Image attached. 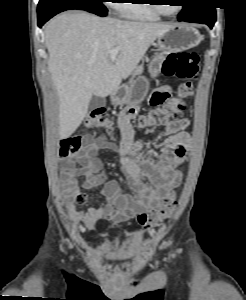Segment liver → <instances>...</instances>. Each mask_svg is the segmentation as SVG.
I'll list each match as a JSON object with an SVG mask.
<instances>
[{"mask_svg":"<svg viewBox=\"0 0 246 300\" xmlns=\"http://www.w3.org/2000/svg\"><path fill=\"white\" fill-rule=\"evenodd\" d=\"M172 25L66 12L45 27L48 69L59 97V138L71 136L87 115L93 95L120 88L148 48ZM118 49L113 61L110 52Z\"/></svg>","mask_w":246,"mask_h":300,"instance_id":"6515ba94","label":"liver"}]
</instances>
